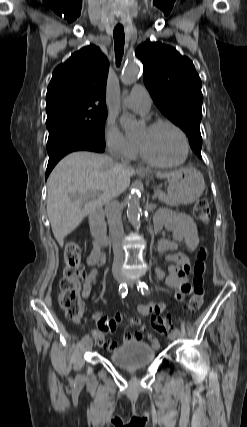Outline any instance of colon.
I'll return each instance as SVG.
<instances>
[{
    "instance_id": "1",
    "label": "colon",
    "mask_w": 247,
    "mask_h": 427,
    "mask_svg": "<svg viewBox=\"0 0 247 427\" xmlns=\"http://www.w3.org/2000/svg\"><path fill=\"white\" fill-rule=\"evenodd\" d=\"M194 217L203 224H208L211 219V210L206 198H199L193 209ZM209 252L201 248L194 265V278L190 286L191 296L187 303L186 314L196 313L202 306L205 294V275L207 270V259ZM81 247L75 240L66 243L64 248V271L60 280V292L58 303L65 312L68 319L77 322L83 315V301L81 299V284L83 279V268L80 263ZM177 321L171 316L153 317L151 327L158 333L169 332ZM99 344L105 342L99 333H96Z\"/></svg>"
}]
</instances>
